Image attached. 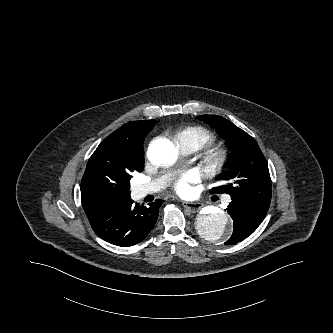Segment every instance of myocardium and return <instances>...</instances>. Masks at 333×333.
Segmentation results:
<instances>
[{
    "label": "myocardium",
    "mask_w": 333,
    "mask_h": 333,
    "mask_svg": "<svg viewBox=\"0 0 333 333\" xmlns=\"http://www.w3.org/2000/svg\"><path fill=\"white\" fill-rule=\"evenodd\" d=\"M228 161V155L226 153H214L210 154L206 158V163L214 167L215 169L223 168Z\"/></svg>",
    "instance_id": "1"
}]
</instances>
